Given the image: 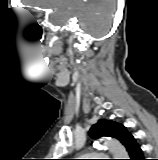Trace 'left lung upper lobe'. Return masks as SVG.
Here are the masks:
<instances>
[{"mask_svg": "<svg viewBox=\"0 0 158 160\" xmlns=\"http://www.w3.org/2000/svg\"><path fill=\"white\" fill-rule=\"evenodd\" d=\"M89 134L93 139H97L102 136L114 137L124 144L130 133L122 124L111 120H99L91 127Z\"/></svg>", "mask_w": 158, "mask_h": 160, "instance_id": "1", "label": "left lung upper lobe"}]
</instances>
